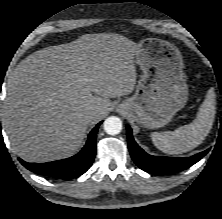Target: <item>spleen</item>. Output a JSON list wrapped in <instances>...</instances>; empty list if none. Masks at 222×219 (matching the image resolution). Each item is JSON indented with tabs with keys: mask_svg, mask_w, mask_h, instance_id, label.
Returning a JSON list of instances; mask_svg holds the SVG:
<instances>
[{
	"mask_svg": "<svg viewBox=\"0 0 222 219\" xmlns=\"http://www.w3.org/2000/svg\"><path fill=\"white\" fill-rule=\"evenodd\" d=\"M214 89H209L204 102L192 123L170 132H153V144L162 152L175 155L200 145L210 132L216 113Z\"/></svg>",
	"mask_w": 222,
	"mask_h": 219,
	"instance_id": "3e777b00",
	"label": "spleen"
}]
</instances>
